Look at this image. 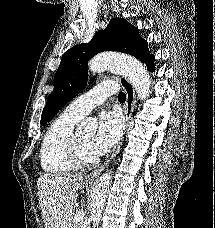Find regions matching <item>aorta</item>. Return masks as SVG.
Returning <instances> with one entry per match:
<instances>
[{
    "instance_id": "obj_1",
    "label": "aorta",
    "mask_w": 215,
    "mask_h": 228,
    "mask_svg": "<svg viewBox=\"0 0 215 228\" xmlns=\"http://www.w3.org/2000/svg\"><path fill=\"white\" fill-rule=\"evenodd\" d=\"M120 70L122 74L127 76L133 88L137 92L139 100H146L150 94L151 82L149 72L145 66L134 60V58H126V56H115V54H99L88 64L90 72H102V70ZM112 172H105L96 182V186L92 194V206L90 210L92 228H98L105 206L107 192L112 182Z\"/></svg>"
}]
</instances>
